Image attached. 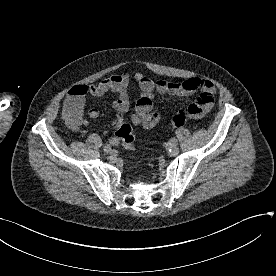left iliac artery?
I'll use <instances>...</instances> for the list:
<instances>
[{
  "instance_id": "44dca946",
  "label": "left iliac artery",
  "mask_w": 276,
  "mask_h": 276,
  "mask_svg": "<svg viewBox=\"0 0 276 276\" xmlns=\"http://www.w3.org/2000/svg\"><path fill=\"white\" fill-rule=\"evenodd\" d=\"M177 143H178L177 139L172 138V139H170L168 145H169V147H172L173 145H177Z\"/></svg>"
}]
</instances>
